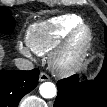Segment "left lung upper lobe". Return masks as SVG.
I'll list each match as a JSON object with an SVG mask.
<instances>
[{
  "mask_svg": "<svg viewBox=\"0 0 107 107\" xmlns=\"http://www.w3.org/2000/svg\"><path fill=\"white\" fill-rule=\"evenodd\" d=\"M105 42H106V47H107V27H105ZM104 65H107V53L105 56Z\"/></svg>",
  "mask_w": 107,
  "mask_h": 107,
  "instance_id": "left-lung-upper-lobe-1",
  "label": "left lung upper lobe"
}]
</instances>
